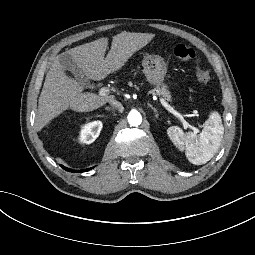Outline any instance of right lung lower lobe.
<instances>
[{
    "mask_svg": "<svg viewBox=\"0 0 255 255\" xmlns=\"http://www.w3.org/2000/svg\"><path fill=\"white\" fill-rule=\"evenodd\" d=\"M63 169H65V170H67V171H70V172H86V171H88V170H90L91 168H89V169H84V170H72V169H69V168H66V167H64V166H61Z\"/></svg>",
    "mask_w": 255,
    "mask_h": 255,
    "instance_id": "1",
    "label": "right lung lower lobe"
}]
</instances>
